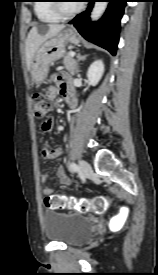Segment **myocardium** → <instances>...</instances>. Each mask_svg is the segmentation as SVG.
Instances as JSON below:
<instances>
[{"label":"myocardium","mask_w":158,"mask_h":275,"mask_svg":"<svg viewBox=\"0 0 158 275\" xmlns=\"http://www.w3.org/2000/svg\"><path fill=\"white\" fill-rule=\"evenodd\" d=\"M60 2V1H53ZM54 12L61 18H70L82 11L83 5H78L75 9L67 11L62 3H52Z\"/></svg>","instance_id":"f54148a6"}]
</instances>
